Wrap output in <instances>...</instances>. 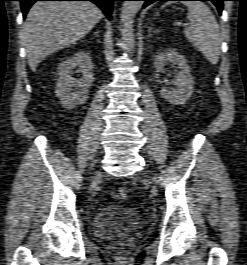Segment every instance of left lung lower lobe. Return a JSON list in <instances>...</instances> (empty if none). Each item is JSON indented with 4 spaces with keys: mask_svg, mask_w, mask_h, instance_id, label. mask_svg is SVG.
I'll return each instance as SVG.
<instances>
[{
    "mask_svg": "<svg viewBox=\"0 0 247 265\" xmlns=\"http://www.w3.org/2000/svg\"><path fill=\"white\" fill-rule=\"evenodd\" d=\"M140 1H145V4L143 7H146L155 1H186V0H140ZM200 1H211V2H213L219 11V14H221L222 9H223V1H227V0H200Z\"/></svg>",
    "mask_w": 247,
    "mask_h": 265,
    "instance_id": "0a47b994",
    "label": "left lung lower lobe"
}]
</instances>
